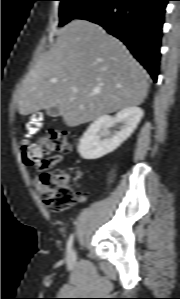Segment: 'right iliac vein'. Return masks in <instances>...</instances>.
<instances>
[{"label": "right iliac vein", "instance_id": "63e3f726", "mask_svg": "<svg viewBox=\"0 0 180 299\" xmlns=\"http://www.w3.org/2000/svg\"><path fill=\"white\" fill-rule=\"evenodd\" d=\"M76 258V253L74 250H71L67 255L68 262H74Z\"/></svg>", "mask_w": 180, "mask_h": 299}]
</instances>
